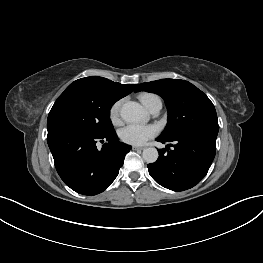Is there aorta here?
I'll use <instances>...</instances> for the list:
<instances>
[{
    "instance_id": "obj_1",
    "label": "aorta",
    "mask_w": 263,
    "mask_h": 263,
    "mask_svg": "<svg viewBox=\"0 0 263 263\" xmlns=\"http://www.w3.org/2000/svg\"><path fill=\"white\" fill-rule=\"evenodd\" d=\"M120 115L127 123H138L146 121L148 118L143 107L139 103L133 101L123 104ZM142 156L147 163H154L158 159L159 154L156 148L148 147L143 150Z\"/></svg>"
}]
</instances>
